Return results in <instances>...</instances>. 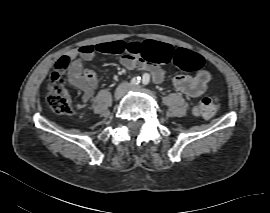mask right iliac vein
<instances>
[{"mask_svg":"<svg viewBox=\"0 0 270 213\" xmlns=\"http://www.w3.org/2000/svg\"><path fill=\"white\" fill-rule=\"evenodd\" d=\"M129 87H130L129 84L126 82L119 85L115 90L114 99L119 100L125 94V92L128 90Z\"/></svg>","mask_w":270,"mask_h":213,"instance_id":"63e3f726","label":"right iliac vein"}]
</instances>
